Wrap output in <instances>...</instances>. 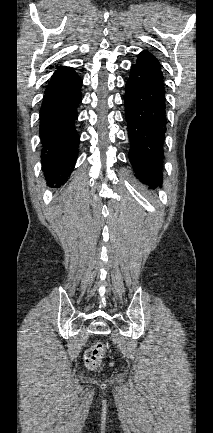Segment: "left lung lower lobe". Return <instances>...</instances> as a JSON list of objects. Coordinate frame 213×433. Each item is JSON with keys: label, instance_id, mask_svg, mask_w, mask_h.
I'll use <instances>...</instances> for the list:
<instances>
[{"label": "left lung lower lobe", "instance_id": "1", "mask_svg": "<svg viewBox=\"0 0 213 433\" xmlns=\"http://www.w3.org/2000/svg\"><path fill=\"white\" fill-rule=\"evenodd\" d=\"M164 83L161 66L148 51L132 65L126 82L125 116L131 143L129 160L135 175L151 188L162 184L166 131Z\"/></svg>", "mask_w": 213, "mask_h": 433}]
</instances>
